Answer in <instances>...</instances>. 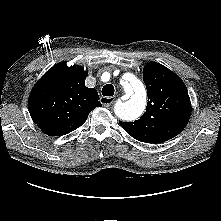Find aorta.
<instances>
[{
  "instance_id": "obj_1",
  "label": "aorta",
  "mask_w": 221,
  "mask_h": 221,
  "mask_svg": "<svg viewBox=\"0 0 221 221\" xmlns=\"http://www.w3.org/2000/svg\"><path fill=\"white\" fill-rule=\"evenodd\" d=\"M127 101L115 105V114L124 120H134L144 111L146 106V91L143 84L134 76L128 82H123Z\"/></svg>"
}]
</instances>
